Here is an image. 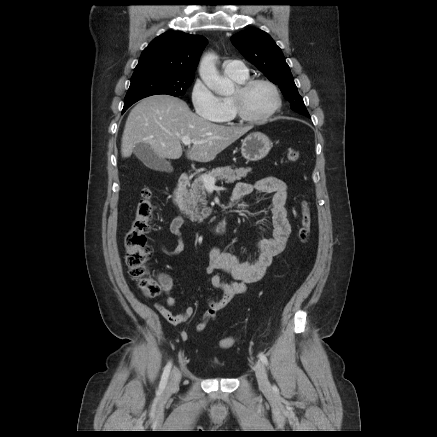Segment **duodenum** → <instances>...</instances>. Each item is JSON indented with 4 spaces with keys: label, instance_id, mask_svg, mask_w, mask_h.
<instances>
[{
    "label": "duodenum",
    "instance_id": "410a0bca",
    "mask_svg": "<svg viewBox=\"0 0 437 437\" xmlns=\"http://www.w3.org/2000/svg\"><path fill=\"white\" fill-rule=\"evenodd\" d=\"M190 181H191V175L189 173L181 174L172 194L173 205L177 209L179 216L181 217L183 222L185 221L183 196L186 187L188 186ZM226 226H227V222L225 220H222L217 226L213 228V231L217 234H222L226 230Z\"/></svg>",
    "mask_w": 437,
    "mask_h": 437
}]
</instances>
